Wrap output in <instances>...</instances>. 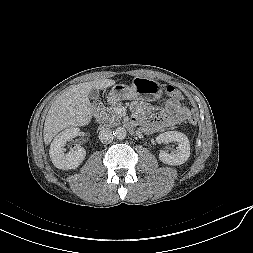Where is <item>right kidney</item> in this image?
Returning <instances> with one entry per match:
<instances>
[{"label":"right kidney","mask_w":253,"mask_h":253,"mask_svg":"<svg viewBox=\"0 0 253 253\" xmlns=\"http://www.w3.org/2000/svg\"><path fill=\"white\" fill-rule=\"evenodd\" d=\"M79 132L78 128L72 127L58 134L50 146V158L55 167L63 170L76 169L85 159L86 150L81 146H75L65 153V144L75 137Z\"/></svg>","instance_id":"ca27d5eb"}]
</instances>
